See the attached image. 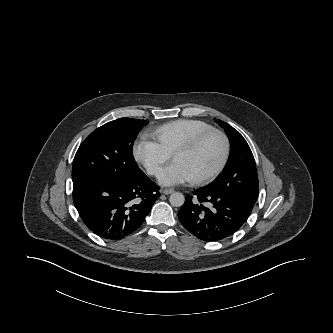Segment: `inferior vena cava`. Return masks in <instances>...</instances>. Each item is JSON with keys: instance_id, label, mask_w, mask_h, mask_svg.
<instances>
[{"instance_id": "obj_1", "label": "inferior vena cava", "mask_w": 333, "mask_h": 333, "mask_svg": "<svg viewBox=\"0 0 333 333\" xmlns=\"http://www.w3.org/2000/svg\"><path fill=\"white\" fill-rule=\"evenodd\" d=\"M157 172H158L157 169H153V170H151V173H157Z\"/></svg>"}]
</instances>
